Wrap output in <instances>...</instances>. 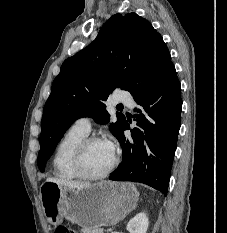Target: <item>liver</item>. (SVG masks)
I'll use <instances>...</instances> for the list:
<instances>
[{
	"mask_svg": "<svg viewBox=\"0 0 227 233\" xmlns=\"http://www.w3.org/2000/svg\"><path fill=\"white\" fill-rule=\"evenodd\" d=\"M47 182H54L60 186H64L66 188L69 189H83L85 187L90 186L91 184L88 182H73V181H69L66 179H62V178H53V177H49L46 179Z\"/></svg>",
	"mask_w": 227,
	"mask_h": 233,
	"instance_id": "6515ba94",
	"label": "liver"
}]
</instances>
